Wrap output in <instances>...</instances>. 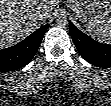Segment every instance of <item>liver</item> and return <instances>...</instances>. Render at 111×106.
I'll use <instances>...</instances> for the list:
<instances>
[{"label": "liver", "instance_id": "6515ba94", "mask_svg": "<svg viewBox=\"0 0 111 106\" xmlns=\"http://www.w3.org/2000/svg\"><path fill=\"white\" fill-rule=\"evenodd\" d=\"M58 0H1L0 47H10L44 24Z\"/></svg>", "mask_w": 111, "mask_h": 106}]
</instances>
